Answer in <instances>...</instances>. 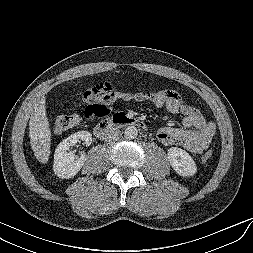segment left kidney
Instances as JSON below:
<instances>
[{"mask_svg": "<svg viewBox=\"0 0 253 253\" xmlns=\"http://www.w3.org/2000/svg\"><path fill=\"white\" fill-rule=\"evenodd\" d=\"M167 155L172 168L180 176L189 177L196 174V163L185 150L171 147L168 149Z\"/></svg>", "mask_w": 253, "mask_h": 253, "instance_id": "1", "label": "left kidney"}]
</instances>
